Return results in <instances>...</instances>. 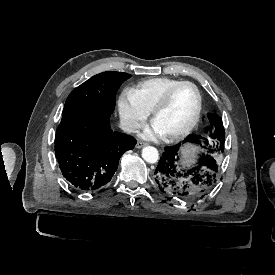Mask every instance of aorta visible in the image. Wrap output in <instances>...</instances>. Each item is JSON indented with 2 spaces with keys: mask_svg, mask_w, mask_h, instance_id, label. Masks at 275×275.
Masks as SVG:
<instances>
[{
  "mask_svg": "<svg viewBox=\"0 0 275 275\" xmlns=\"http://www.w3.org/2000/svg\"><path fill=\"white\" fill-rule=\"evenodd\" d=\"M142 157L148 163H156L159 159L158 150L153 146H146L142 149Z\"/></svg>",
  "mask_w": 275,
  "mask_h": 275,
  "instance_id": "obj_1",
  "label": "aorta"
}]
</instances>
